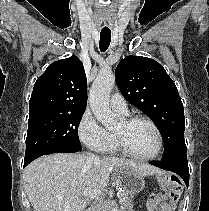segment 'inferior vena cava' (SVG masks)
I'll use <instances>...</instances> for the list:
<instances>
[{
  "label": "inferior vena cava",
  "instance_id": "obj_1",
  "mask_svg": "<svg viewBox=\"0 0 209 211\" xmlns=\"http://www.w3.org/2000/svg\"><path fill=\"white\" fill-rule=\"evenodd\" d=\"M87 156H89V158H90L91 160L98 159V157H96L94 154H91V153H87Z\"/></svg>",
  "mask_w": 209,
  "mask_h": 211
}]
</instances>
